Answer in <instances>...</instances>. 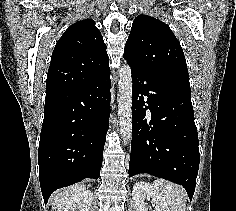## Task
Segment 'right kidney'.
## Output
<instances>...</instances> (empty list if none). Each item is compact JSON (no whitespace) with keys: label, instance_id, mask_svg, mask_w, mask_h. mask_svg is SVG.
<instances>
[{"label":"right kidney","instance_id":"1","mask_svg":"<svg viewBox=\"0 0 236 211\" xmlns=\"http://www.w3.org/2000/svg\"><path fill=\"white\" fill-rule=\"evenodd\" d=\"M92 199L93 193L90 190H84L64 202L58 211H89Z\"/></svg>","mask_w":236,"mask_h":211}]
</instances>
